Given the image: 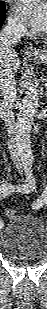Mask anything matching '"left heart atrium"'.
<instances>
[{
    "label": "left heart atrium",
    "mask_w": 47,
    "mask_h": 309,
    "mask_svg": "<svg viewBox=\"0 0 47 309\" xmlns=\"http://www.w3.org/2000/svg\"><path fill=\"white\" fill-rule=\"evenodd\" d=\"M16 13L29 26L43 30L47 23V6L45 0H18Z\"/></svg>",
    "instance_id": "1"
}]
</instances>
